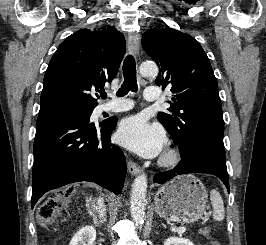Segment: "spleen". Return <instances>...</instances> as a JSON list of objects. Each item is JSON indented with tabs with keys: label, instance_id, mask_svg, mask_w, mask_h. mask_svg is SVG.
I'll return each instance as SVG.
<instances>
[{
	"label": "spleen",
	"instance_id": "3e777b00",
	"mask_svg": "<svg viewBox=\"0 0 266 245\" xmlns=\"http://www.w3.org/2000/svg\"><path fill=\"white\" fill-rule=\"evenodd\" d=\"M210 201L213 207V219H215V221H223L225 217L224 203L220 193L215 191V189H212L210 193Z\"/></svg>",
	"mask_w": 266,
	"mask_h": 245
}]
</instances>
